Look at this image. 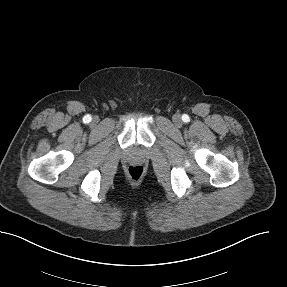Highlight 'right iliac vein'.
<instances>
[{
	"label": "right iliac vein",
	"instance_id": "1",
	"mask_svg": "<svg viewBox=\"0 0 287 287\" xmlns=\"http://www.w3.org/2000/svg\"><path fill=\"white\" fill-rule=\"evenodd\" d=\"M97 122H98V118L95 117V118L93 119V123H97Z\"/></svg>",
	"mask_w": 287,
	"mask_h": 287
}]
</instances>
